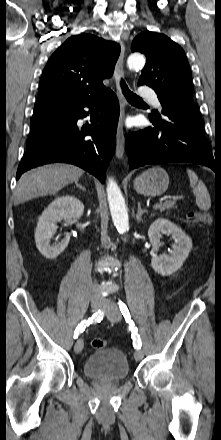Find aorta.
Masks as SVG:
<instances>
[{
    "mask_svg": "<svg viewBox=\"0 0 221 440\" xmlns=\"http://www.w3.org/2000/svg\"><path fill=\"white\" fill-rule=\"evenodd\" d=\"M130 69L142 68L145 65V58L140 53H133L127 59ZM107 196L112 220L120 232H125L129 228L128 213L124 197L117 183L109 178L107 183Z\"/></svg>",
    "mask_w": 221,
    "mask_h": 440,
    "instance_id": "obj_1",
    "label": "aorta"
}]
</instances>
